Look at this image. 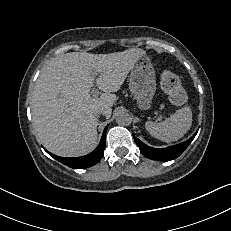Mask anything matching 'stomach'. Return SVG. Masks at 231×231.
I'll use <instances>...</instances> for the list:
<instances>
[{
  "label": "stomach",
  "mask_w": 231,
  "mask_h": 231,
  "mask_svg": "<svg viewBox=\"0 0 231 231\" xmlns=\"http://www.w3.org/2000/svg\"><path fill=\"white\" fill-rule=\"evenodd\" d=\"M129 90L139 109L147 110L151 107L156 91V78L154 68L147 55L140 57L131 69Z\"/></svg>",
  "instance_id": "0dacf381"
}]
</instances>
